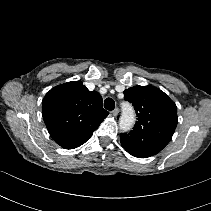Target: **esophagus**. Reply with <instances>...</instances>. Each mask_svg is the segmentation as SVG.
Masks as SVG:
<instances>
[{"label":"esophagus","instance_id":"esophagus-1","mask_svg":"<svg viewBox=\"0 0 211 211\" xmlns=\"http://www.w3.org/2000/svg\"><path fill=\"white\" fill-rule=\"evenodd\" d=\"M119 109L115 108L111 113L114 117H116L118 115Z\"/></svg>","mask_w":211,"mask_h":211}]
</instances>
